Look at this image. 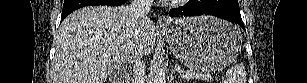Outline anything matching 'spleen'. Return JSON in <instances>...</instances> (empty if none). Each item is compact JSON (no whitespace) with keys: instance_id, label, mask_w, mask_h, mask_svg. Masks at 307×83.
<instances>
[{"instance_id":"obj_1","label":"spleen","mask_w":307,"mask_h":83,"mask_svg":"<svg viewBox=\"0 0 307 83\" xmlns=\"http://www.w3.org/2000/svg\"><path fill=\"white\" fill-rule=\"evenodd\" d=\"M226 83H246V72L243 64H236L226 72Z\"/></svg>"}]
</instances>
